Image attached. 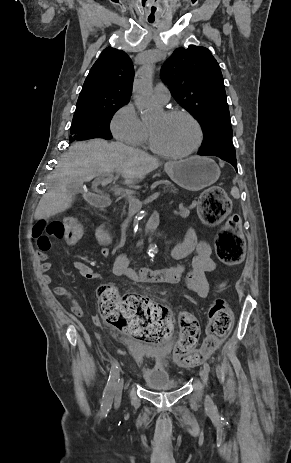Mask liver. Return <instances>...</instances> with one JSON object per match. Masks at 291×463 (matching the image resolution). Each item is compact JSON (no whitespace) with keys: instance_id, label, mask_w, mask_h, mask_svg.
<instances>
[{"instance_id":"6515ba94","label":"liver","mask_w":291,"mask_h":463,"mask_svg":"<svg viewBox=\"0 0 291 463\" xmlns=\"http://www.w3.org/2000/svg\"><path fill=\"white\" fill-rule=\"evenodd\" d=\"M157 158L123 143H108L102 139L78 142L59 161L52 175L54 184L40 199L35 219H44L62 213L72 206L74 194L68 190L71 183L82 186L97 176L118 171L124 184L132 185L159 167Z\"/></svg>"}]
</instances>
